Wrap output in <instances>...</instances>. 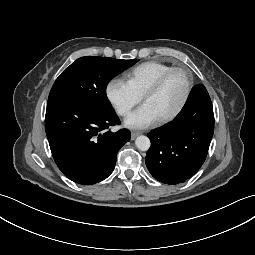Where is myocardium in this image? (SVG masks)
Segmentation results:
<instances>
[{
	"instance_id": "1",
	"label": "myocardium",
	"mask_w": 255,
	"mask_h": 255,
	"mask_svg": "<svg viewBox=\"0 0 255 255\" xmlns=\"http://www.w3.org/2000/svg\"><path fill=\"white\" fill-rule=\"evenodd\" d=\"M174 72H182L185 75L186 81H187L186 91H185V94H184L180 104L178 105V107L170 114L160 118V120L162 122H168V121L173 120L181 113V111L185 107V105L190 97L191 91H192V78H191L190 73L185 68L172 67L171 69H169L168 71H166L162 75H160L157 78V80L147 89V91L143 95L144 100L146 101L149 96L158 92L161 89V87L163 86V84L167 80V78Z\"/></svg>"
}]
</instances>
